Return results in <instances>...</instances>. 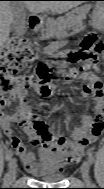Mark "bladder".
I'll return each instance as SVG.
<instances>
[{
    "label": "bladder",
    "mask_w": 104,
    "mask_h": 189,
    "mask_svg": "<svg viewBox=\"0 0 104 189\" xmlns=\"http://www.w3.org/2000/svg\"><path fill=\"white\" fill-rule=\"evenodd\" d=\"M38 177L44 182H58L64 177L63 171H43Z\"/></svg>",
    "instance_id": "1"
}]
</instances>
